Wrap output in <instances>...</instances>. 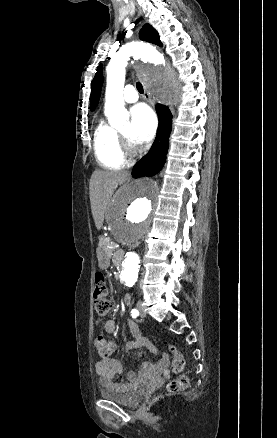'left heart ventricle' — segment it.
I'll list each match as a JSON object with an SVG mask.
<instances>
[{"label":"left heart ventricle","mask_w":277,"mask_h":438,"mask_svg":"<svg viewBox=\"0 0 277 438\" xmlns=\"http://www.w3.org/2000/svg\"><path fill=\"white\" fill-rule=\"evenodd\" d=\"M120 133H122L123 135H125L126 137L130 138V133H131V129L127 128L125 130H122Z\"/></svg>","instance_id":"obj_1"}]
</instances>
